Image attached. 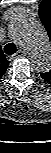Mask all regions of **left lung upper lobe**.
Segmentation results:
<instances>
[{
  "mask_svg": "<svg viewBox=\"0 0 51 153\" xmlns=\"http://www.w3.org/2000/svg\"><path fill=\"white\" fill-rule=\"evenodd\" d=\"M39 17L51 40V0H43L39 5ZM41 77L51 84V70L41 73Z\"/></svg>",
  "mask_w": 51,
  "mask_h": 153,
  "instance_id": "1",
  "label": "left lung upper lobe"
}]
</instances>
